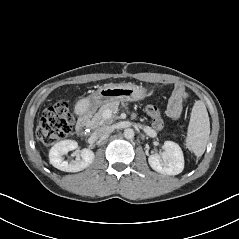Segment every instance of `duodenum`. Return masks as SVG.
I'll return each mask as SVG.
<instances>
[{
	"label": "duodenum",
	"mask_w": 239,
	"mask_h": 239,
	"mask_svg": "<svg viewBox=\"0 0 239 239\" xmlns=\"http://www.w3.org/2000/svg\"><path fill=\"white\" fill-rule=\"evenodd\" d=\"M89 120H90V118L88 115H84L82 117V119L80 120L79 125H78L79 132H82V130L88 125Z\"/></svg>",
	"instance_id": "duodenum-1"
}]
</instances>
